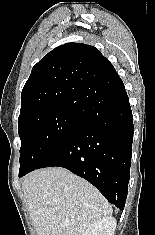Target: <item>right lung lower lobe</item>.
I'll list each match as a JSON object with an SVG mask.
<instances>
[{
    "label": "right lung lower lobe",
    "mask_w": 155,
    "mask_h": 235,
    "mask_svg": "<svg viewBox=\"0 0 155 235\" xmlns=\"http://www.w3.org/2000/svg\"><path fill=\"white\" fill-rule=\"evenodd\" d=\"M86 94L84 110L79 113L84 124L35 169L64 167L89 181L123 210L133 140L129 99L121 79L91 88Z\"/></svg>",
    "instance_id": "right-lung-lower-lobe-1"
}]
</instances>
